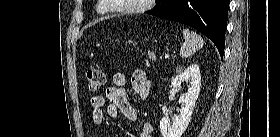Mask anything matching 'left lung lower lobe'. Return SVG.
<instances>
[{
  "label": "left lung lower lobe",
  "mask_w": 280,
  "mask_h": 137,
  "mask_svg": "<svg viewBox=\"0 0 280 137\" xmlns=\"http://www.w3.org/2000/svg\"><path fill=\"white\" fill-rule=\"evenodd\" d=\"M228 8L229 0H162L148 14L193 27L212 40L223 57Z\"/></svg>",
  "instance_id": "left-lung-lower-lobe-1"
}]
</instances>
